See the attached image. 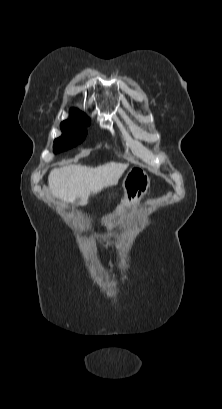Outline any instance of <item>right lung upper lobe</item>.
Returning <instances> with one entry per match:
<instances>
[{
    "mask_svg": "<svg viewBox=\"0 0 222 409\" xmlns=\"http://www.w3.org/2000/svg\"><path fill=\"white\" fill-rule=\"evenodd\" d=\"M77 112H79V111H77V110L72 111V113H77Z\"/></svg>",
    "mask_w": 222,
    "mask_h": 409,
    "instance_id": "cb5924a9",
    "label": "right lung upper lobe"
}]
</instances>
